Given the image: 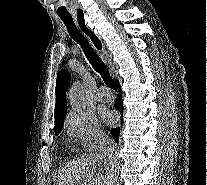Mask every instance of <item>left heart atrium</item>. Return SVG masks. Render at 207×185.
Returning <instances> with one entry per match:
<instances>
[{"mask_svg": "<svg viewBox=\"0 0 207 185\" xmlns=\"http://www.w3.org/2000/svg\"><path fill=\"white\" fill-rule=\"evenodd\" d=\"M102 118L105 122H112L114 119L113 113L105 112L102 114Z\"/></svg>", "mask_w": 207, "mask_h": 185, "instance_id": "obj_1", "label": "left heart atrium"}]
</instances>
